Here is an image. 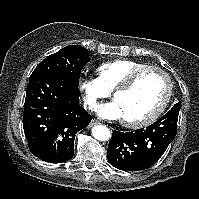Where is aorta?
Segmentation results:
<instances>
[{"label":"aorta","instance_id":"762f6f07","mask_svg":"<svg viewBox=\"0 0 199 199\" xmlns=\"http://www.w3.org/2000/svg\"><path fill=\"white\" fill-rule=\"evenodd\" d=\"M92 135L99 141H106L110 138V130L104 125H97L92 128Z\"/></svg>","mask_w":199,"mask_h":199}]
</instances>
